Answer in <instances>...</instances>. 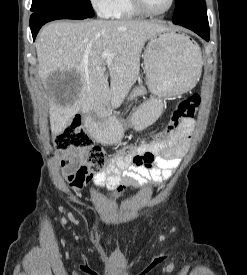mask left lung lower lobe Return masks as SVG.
Masks as SVG:
<instances>
[{
  "label": "left lung lower lobe",
  "instance_id": "obj_1",
  "mask_svg": "<svg viewBox=\"0 0 247 275\" xmlns=\"http://www.w3.org/2000/svg\"><path fill=\"white\" fill-rule=\"evenodd\" d=\"M175 24L194 31L206 41H209L210 39L208 20H198V21H192V22H186V23H175Z\"/></svg>",
  "mask_w": 247,
  "mask_h": 275
}]
</instances>
